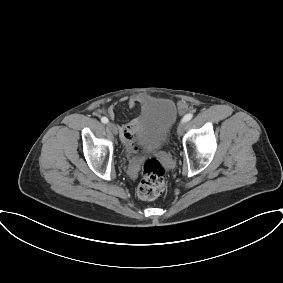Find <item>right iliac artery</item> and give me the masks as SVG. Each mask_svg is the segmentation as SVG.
I'll use <instances>...</instances> for the list:
<instances>
[{"mask_svg":"<svg viewBox=\"0 0 283 283\" xmlns=\"http://www.w3.org/2000/svg\"><path fill=\"white\" fill-rule=\"evenodd\" d=\"M101 121L106 124V123H108L109 120H108V118H106V117H102V118H101Z\"/></svg>","mask_w":283,"mask_h":283,"instance_id":"obj_1","label":"right iliac artery"}]
</instances>
